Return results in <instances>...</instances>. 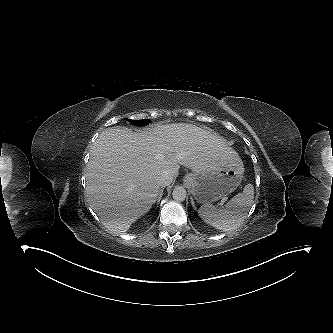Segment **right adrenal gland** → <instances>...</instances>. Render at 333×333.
<instances>
[{
	"label": "right adrenal gland",
	"mask_w": 333,
	"mask_h": 333,
	"mask_svg": "<svg viewBox=\"0 0 333 333\" xmlns=\"http://www.w3.org/2000/svg\"><path fill=\"white\" fill-rule=\"evenodd\" d=\"M162 195H163V189H160V192H159V195H158V199H157V204H159L161 198H162Z\"/></svg>",
	"instance_id": "right-adrenal-gland-1"
}]
</instances>
